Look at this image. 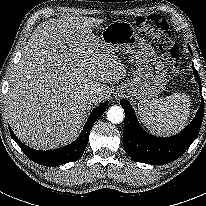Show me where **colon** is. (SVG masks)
I'll use <instances>...</instances> for the list:
<instances>
[{"instance_id": "obj_1", "label": "colon", "mask_w": 206, "mask_h": 206, "mask_svg": "<svg viewBox=\"0 0 206 206\" xmlns=\"http://www.w3.org/2000/svg\"><path fill=\"white\" fill-rule=\"evenodd\" d=\"M135 27L139 33L156 39L163 59L174 73H178L180 71V52L172 41L168 21L157 15L142 16L135 20Z\"/></svg>"}]
</instances>
